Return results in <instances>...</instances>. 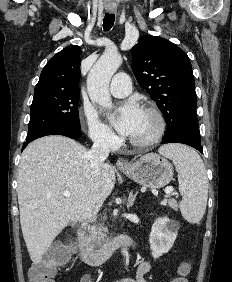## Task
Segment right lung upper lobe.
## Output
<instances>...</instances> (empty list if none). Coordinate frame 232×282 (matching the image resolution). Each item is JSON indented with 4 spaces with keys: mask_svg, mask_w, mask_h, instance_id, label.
Here are the masks:
<instances>
[{
    "mask_svg": "<svg viewBox=\"0 0 232 282\" xmlns=\"http://www.w3.org/2000/svg\"><path fill=\"white\" fill-rule=\"evenodd\" d=\"M79 46L66 47L52 57L43 68L34 93L79 92Z\"/></svg>",
    "mask_w": 232,
    "mask_h": 282,
    "instance_id": "1",
    "label": "right lung upper lobe"
}]
</instances>
